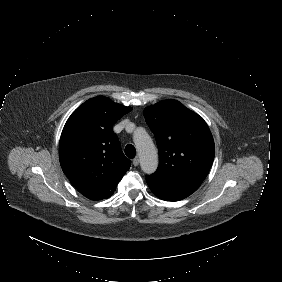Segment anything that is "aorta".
Returning <instances> with one entry per match:
<instances>
[{
  "label": "aorta",
  "mask_w": 282,
  "mask_h": 282,
  "mask_svg": "<svg viewBox=\"0 0 282 282\" xmlns=\"http://www.w3.org/2000/svg\"><path fill=\"white\" fill-rule=\"evenodd\" d=\"M133 141L139 154L140 166L144 173L152 174L158 167V152L145 129H137Z\"/></svg>",
  "instance_id": "aorta-1"
}]
</instances>
